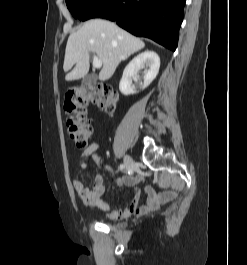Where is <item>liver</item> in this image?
Returning a JSON list of instances; mask_svg holds the SVG:
<instances>
[{
  "instance_id": "liver-1",
  "label": "liver",
  "mask_w": 247,
  "mask_h": 265,
  "mask_svg": "<svg viewBox=\"0 0 247 265\" xmlns=\"http://www.w3.org/2000/svg\"><path fill=\"white\" fill-rule=\"evenodd\" d=\"M144 42L112 22L93 19L72 33L67 41L63 69L66 81L84 78L89 71V54L96 53L103 67L99 80L112 77L119 63L143 49Z\"/></svg>"
}]
</instances>
